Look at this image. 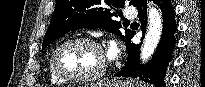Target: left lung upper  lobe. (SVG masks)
<instances>
[{"mask_svg":"<svg viewBox=\"0 0 205 87\" xmlns=\"http://www.w3.org/2000/svg\"><path fill=\"white\" fill-rule=\"evenodd\" d=\"M139 0H131L136 6ZM125 0H57L51 23L44 36L42 51L53 41L65 33L81 28H103L108 32L121 36L128 44L135 32L125 29V35L118 30L121 23L114 20L120 14L110 8H123Z\"/></svg>","mask_w":205,"mask_h":87,"instance_id":"5c2ea615","label":"left lung upper lobe"}]
</instances>
